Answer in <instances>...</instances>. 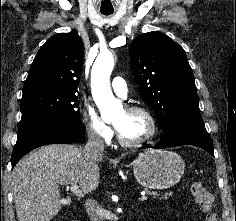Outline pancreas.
Wrapping results in <instances>:
<instances>
[{
    "label": "pancreas",
    "instance_id": "obj_1",
    "mask_svg": "<svg viewBox=\"0 0 236 221\" xmlns=\"http://www.w3.org/2000/svg\"><path fill=\"white\" fill-rule=\"evenodd\" d=\"M150 194L153 196V198L158 197L159 200L167 199L168 196L171 195V193H165V194H163V195H160V194H158V193H154V192H150Z\"/></svg>",
    "mask_w": 236,
    "mask_h": 221
}]
</instances>
